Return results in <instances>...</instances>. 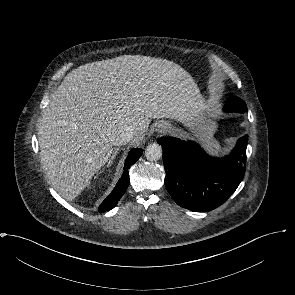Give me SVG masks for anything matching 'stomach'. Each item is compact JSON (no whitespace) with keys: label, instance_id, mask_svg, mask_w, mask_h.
<instances>
[{"label":"stomach","instance_id":"0dacf381","mask_svg":"<svg viewBox=\"0 0 295 295\" xmlns=\"http://www.w3.org/2000/svg\"><path fill=\"white\" fill-rule=\"evenodd\" d=\"M207 113L209 114V111ZM210 126L214 127V124L212 123Z\"/></svg>","mask_w":295,"mask_h":295}]
</instances>
